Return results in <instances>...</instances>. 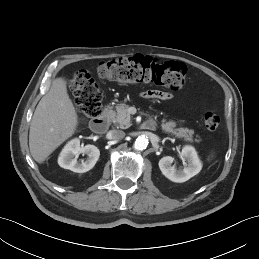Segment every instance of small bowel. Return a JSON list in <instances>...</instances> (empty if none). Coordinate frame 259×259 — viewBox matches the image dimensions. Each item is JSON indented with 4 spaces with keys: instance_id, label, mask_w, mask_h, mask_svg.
Segmentation results:
<instances>
[{
    "instance_id": "1",
    "label": "small bowel",
    "mask_w": 259,
    "mask_h": 259,
    "mask_svg": "<svg viewBox=\"0 0 259 259\" xmlns=\"http://www.w3.org/2000/svg\"><path fill=\"white\" fill-rule=\"evenodd\" d=\"M142 96L146 99L166 100L172 97V94L165 91L147 90L142 92Z\"/></svg>"
}]
</instances>
